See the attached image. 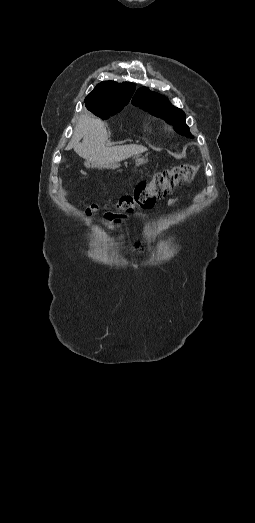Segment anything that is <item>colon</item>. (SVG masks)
<instances>
[{"label": "colon", "mask_w": 255, "mask_h": 523, "mask_svg": "<svg viewBox=\"0 0 255 523\" xmlns=\"http://www.w3.org/2000/svg\"><path fill=\"white\" fill-rule=\"evenodd\" d=\"M197 170V165L181 164L158 172L149 181L139 182L131 195L120 198L116 204V209L124 214L132 212L135 208L150 209L157 199L165 197L176 186L193 180ZM98 208V205H91L86 212L91 214ZM106 217L113 219L117 216L107 213Z\"/></svg>", "instance_id": "1"}]
</instances>
